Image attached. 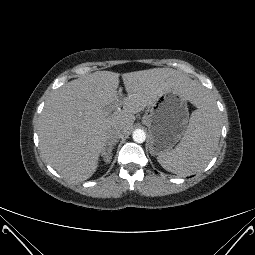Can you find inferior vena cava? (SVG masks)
Wrapping results in <instances>:
<instances>
[{"label":"inferior vena cava","mask_w":255,"mask_h":255,"mask_svg":"<svg viewBox=\"0 0 255 255\" xmlns=\"http://www.w3.org/2000/svg\"><path fill=\"white\" fill-rule=\"evenodd\" d=\"M124 135L123 131L119 128H111L107 133V144L111 145L116 143Z\"/></svg>","instance_id":"obj_1"}]
</instances>
